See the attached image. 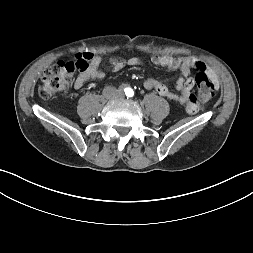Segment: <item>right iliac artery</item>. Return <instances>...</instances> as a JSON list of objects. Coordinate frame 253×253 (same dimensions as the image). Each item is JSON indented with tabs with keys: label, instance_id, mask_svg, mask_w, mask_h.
Masks as SVG:
<instances>
[{
	"label": "right iliac artery",
	"instance_id": "right-iliac-artery-1",
	"mask_svg": "<svg viewBox=\"0 0 253 253\" xmlns=\"http://www.w3.org/2000/svg\"><path fill=\"white\" fill-rule=\"evenodd\" d=\"M125 90L126 89L123 86H120L118 91L123 93Z\"/></svg>",
	"mask_w": 253,
	"mask_h": 253
}]
</instances>
